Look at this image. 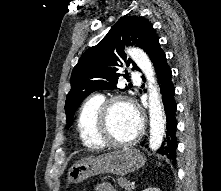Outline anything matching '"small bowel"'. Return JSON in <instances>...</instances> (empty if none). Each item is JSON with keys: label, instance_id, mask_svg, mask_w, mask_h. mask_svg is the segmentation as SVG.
Listing matches in <instances>:
<instances>
[{"label": "small bowel", "instance_id": "1", "mask_svg": "<svg viewBox=\"0 0 221 191\" xmlns=\"http://www.w3.org/2000/svg\"><path fill=\"white\" fill-rule=\"evenodd\" d=\"M97 191H116L112 183L108 181L101 182L97 187Z\"/></svg>", "mask_w": 221, "mask_h": 191}]
</instances>
